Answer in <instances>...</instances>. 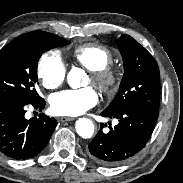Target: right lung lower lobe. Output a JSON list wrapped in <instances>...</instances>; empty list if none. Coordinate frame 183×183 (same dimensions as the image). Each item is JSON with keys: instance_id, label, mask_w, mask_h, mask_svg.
Returning a JSON list of instances; mask_svg holds the SVG:
<instances>
[{"instance_id": "1", "label": "right lung lower lobe", "mask_w": 183, "mask_h": 183, "mask_svg": "<svg viewBox=\"0 0 183 183\" xmlns=\"http://www.w3.org/2000/svg\"><path fill=\"white\" fill-rule=\"evenodd\" d=\"M28 104L41 111L45 100L41 97L0 100V151L12 159L25 160L39 154L57 125L54 118L43 114L25 119L24 107Z\"/></svg>"}]
</instances>
